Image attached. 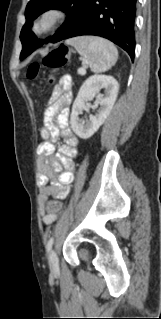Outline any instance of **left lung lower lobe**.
<instances>
[{"label": "left lung lower lobe", "mask_w": 161, "mask_h": 319, "mask_svg": "<svg viewBox=\"0 0 161 319\" xmlns=\"http://www.w3.org/2000/svg\"><path fill=\"white\" fill-rule=\"evenodd\" d=\"M136 3L137 0H91L83 16L63 39L81 35L101 36L123 48L133 61ZM35 49L26 50L20 55V59H24Z\"/></svg>", "instance_id": "1"}]
</instances>
